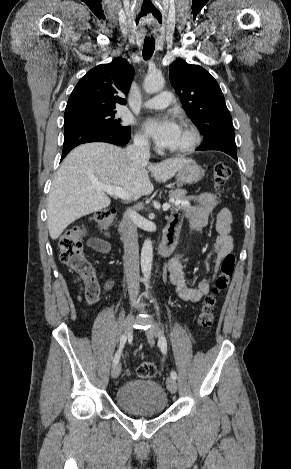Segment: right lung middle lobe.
Segmentation results:
<instances>
[{"label":"right lung middle lobe","instance_id":"dd1d6c3e","mask_svg":"<svg viewBox=\"0 0 291 469\" xmlns=\"http://www.w3.org/2000/svg\"><path fill=\"white\" fill-rule=\"evenodd\" d=\"M115 109H91L64 115V129L76 126H91L107 129H130L114 117Z\"/></svg>","mask_w":291,"mask_h":469}]
</instances>
